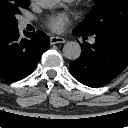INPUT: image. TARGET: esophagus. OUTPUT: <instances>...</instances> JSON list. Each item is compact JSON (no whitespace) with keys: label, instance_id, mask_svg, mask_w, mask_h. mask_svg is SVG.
I'll return each mask as SVG.
<instances>
[{"label":"esophagus","instance_id":"obj_1","mask_svg":"<svg viewBox=\"0 0 128 128\" xmlns=\"http://www.w3.org/2000/svg\"><path fill=\"white\" fill-rule=\"evenodd\" d=\"M65 39L63 37H59V36H51L50 37V44H58V43H65Z\"/></svg>","mask_w":128,"mask_h":128}]
</instances>
